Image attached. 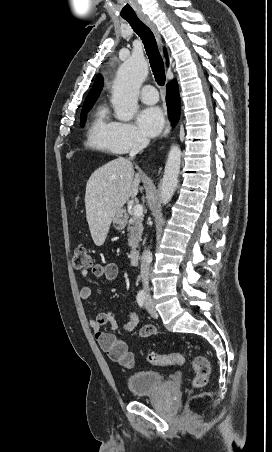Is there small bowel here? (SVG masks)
I'll list each match as a JSON object with an SVG mask.
<instances>
[{
	"label": "small bowel",
	"instance_id": "1",
	"mask_svg": "<svg viewBox=\"0 0 272 452\" xmlns=\"http://www.w3.org/2000/svg\"><path fill=\"white\" fill-rule=\"evenodd\" d=\"M119 273V268L116 263L108 262L105 264H94L92 266V274L96 278L103 279L104 281L110 282L117 278ZM89 272L87 269H83L81 271V278L83 280L87 279ZM92 288L88 285L83 286L80 289V298L84 301H89L92 298ZM129 320L123 327V332H130L133 330L138 324V317L135 312H128ZM89 325L95 334V338L100 348L105 351L108 355L112 348L121 343V341L116 336L117 324L116 320L111 312V310H105L100 312L95 318L89 320ZM105 325H109L112 329V332H104L102 327ZM157 329L152 325H145L139 330V336L141 338H148L151 336L157 335ZM126 347V346H125Z\"/></svg>",
	"mask_w": 272,
	"mask_h": 452
}]
</instances>
